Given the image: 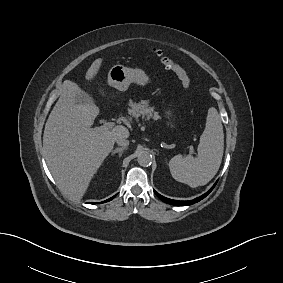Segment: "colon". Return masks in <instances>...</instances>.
Returning <instances> with one entry per match:
<instances>
[{"label":"colon","mask_w":283,"mask_h":283,"mask_svg":"<svg viewBox=\"0 0 283 283\" xmlns=\"http://www.w3.org/2000/svg\"><path fill=\"white\" fill-rule=\"evenodd\" d=\"M152 51L165 65L166 68L172 70L176 74L183 88L188 89L191 85V80L187 71L173 59L166 56L161 50L153 49Z\"/></svg>","instance_id":"5ec220e1"}]
</instances>
